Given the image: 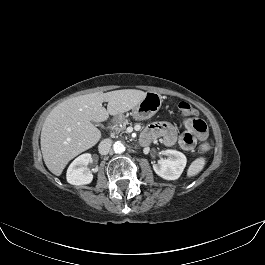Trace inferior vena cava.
Listing matches in <instances>:
<instances>
[{"label":"inferior vena cava","instance_id":"obj_1","mask_svg":"<svg viewBox=\"0 0 265 265\" xmlns=\"http://www.w3.org/2000/svg\"><path fill=\"white\" fill-rule=\"evenodd\" d=\"M112 140L111 139H104L100 142L98 146L99 153L101 155H107L111 149Z\"/></svg>","mask_w":265,"mask_h":265}]
</instances>
